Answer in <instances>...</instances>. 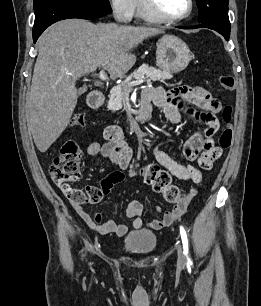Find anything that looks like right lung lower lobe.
I'll return each instance as SVG.
<instances>
[{
  "label": "right lung lower lobe",
  "mask_w": 261,
  "mask_h": 306,
  "mask_svg": "<svg viewBox=\"0 0 261 306\" xmlns=\"http://www.w3.org/2000/svg\"><path fill=\"white\" fill-rule=\"evenodd\" d=\"M34 13L33 41L36 43L42 32L57 21L69 18L97 19L107 15L109 12L72 3L34 0Z\"/></svg>",
  "instance_id": "98d812e1"
}]
</instances>
